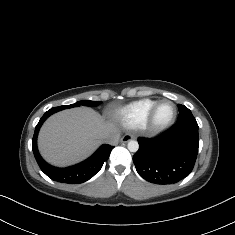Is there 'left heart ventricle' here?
I'll return each instance as SVG.
<instances>
[{"mask_svg":"<svg viewBox=\"0 0 235 235\" xmlns=\"http://www.w3.org/2000/svg\"><path fill=\"white\" fill-rule=\"evenodd\" d=\"M175 113V108L171 102L162 103L156 112V122L165 124L172 119Z\"/></svg>","mask_w":235,"mask_h":235,"instance_id":"1","label":"left heart ventricle"}]
</instances>
